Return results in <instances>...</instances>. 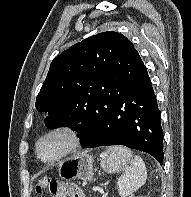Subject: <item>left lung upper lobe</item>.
<instances>
[{
  "label": "left lung upper lobe",
  "mask_w": 191,
  "mask_h": 197,
  "mask_svg": "<svg viewBox=\"0 0 191 197\" xmlns=\"http://www.w3.org/2000/svg\"><path fill=\"white\" fill-rule=\"evenodd\" d=\"M145 68L124 35H93L52 61L35 106L48 113V128L69 127L80 134L83 119L119 88L123 77Z\"/></svg>",
  "instance_id": "obj_1"
}]
</instances>
